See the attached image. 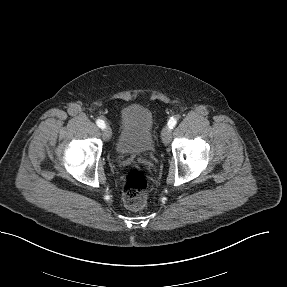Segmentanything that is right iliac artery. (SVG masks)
<instances>
[{"instance_id": "82829eb1", "label": "right iliac artery", "mask_w": 287, "mask_h": 287, "mask_svg": "<svg viewBox=\"0 0 287 287\" xmlns=\"http://www.w3.org/2000/svg\"><path fill=\"white\" fill-rule=\"evenodd\" d=\"M96 124H97V126L99 127V128H102V129H104L106 126H105V122L103 121V120H100V119H98L97 121H96Z\"/></svg>"}]
</instances>
